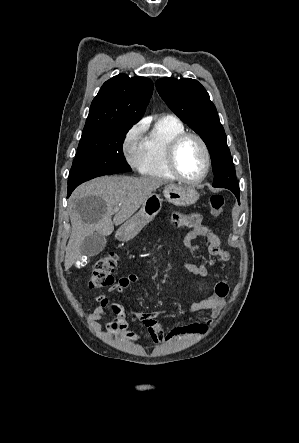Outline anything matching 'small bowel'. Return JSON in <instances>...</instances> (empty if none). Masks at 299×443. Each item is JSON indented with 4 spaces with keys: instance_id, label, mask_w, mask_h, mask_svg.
Returning a JSON list of instances; mask_svg holds the SVG:
<instances>
[{
    "instance_id": "c3829d8e",
    "label": "small bowel",
    "mask_w": 299,
    "mask_h": 443,
    "mask_svg": "<svg viewBox=\"0 0 299 443\" xmlns=\"http://www.w3.org/2000/svg\"><path fill=\"white\" fill-rule=\"evenodd\" d=\"M172 222L178 228H190V231L186 234L183 240V244L189 252H205L210 256L219 258L223 262L230 259L229 252L223 248L220 238L208 225L203 223V218L200 214L195 213L186 215L182 213H173ZM198 238L203 239L205 244H197L195 241ZM181 265L193 275L204 278L210 276L207 262L193 264L183 261L181 262ZM136 281L137 276L135 274L121 277L110 287V291L120 293ZM228 293V282L225 279L218 280L213 291L206 298L192 302L184 312L185 317H190L197 312L209 310L212 312L211 318L205 323H192L174 327L168 333L164 332L157 320L159 316L158 312H136L134 313V317L145 325L149 336L155 344H161L172 338L183 335L205 334L213 319L219 315L224 307ZM96 301L98 303L97 306L89 314V319L93 328L98 329L100 327L98 321L103 318L105 309H108L114 316V318L106 324V332L110 336H121L131 341H136L140 338L138 334L129 330L125 308L121 303L110 300L104 294L97 295Z\"/></svg>"
}]
</instances>
